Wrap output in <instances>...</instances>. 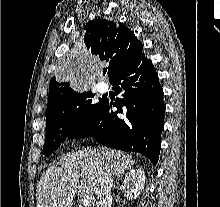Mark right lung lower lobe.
Returning a JSON list of instances; mask_svg holds the SVG:
<instances>
[{
    "label": "right lung lower lobe",
    "instance_id": "obj_1",
    "mask_svg": "<svg viewBox=\"0 0 220 207\" xmlns=\"http://www.w3.org/2000/svg\"><path fill=\"white\" fill-rule=\"evenodd\" d=\"M110 83L119 88L122 98L114 104L104 99L93 117L71 137H94L107 147L139 152L156 164L165 107L163 89L151 60L139 53ZM112 105L117 108L116 112L110 110Z\"/></svg>",
    "mask_w": 220,
    "mask_h": 207
}]
</instances>
